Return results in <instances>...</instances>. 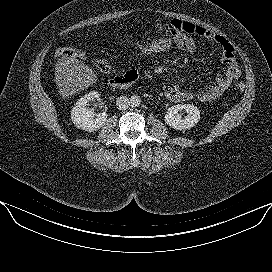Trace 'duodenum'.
Returning a JSON list of instances; mask_svg holds the SVG:
<instances>
[{
  "label": "duodenum",
  "mask_w": 272,
  "mask_h": 272,
  "mask_svg": "<svg viewBox=\"0 0 272 272\" xmlns=\"http://www.w3.org/2000/svg\"><path fill=\"white\" fill-rule=\"evenodd\" d=\"M135 77L129 74H122L115 76L105 81V84L112 88H126L134 83Z\"/></svg>",
  "instance_id": "410a0bca"
}]
</instances>
